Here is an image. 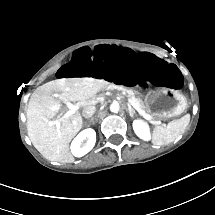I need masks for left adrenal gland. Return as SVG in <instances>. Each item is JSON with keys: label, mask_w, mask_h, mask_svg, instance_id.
Masks as SVG:
<instances>
[{"label": "left adrenal gland", "mask_w": 215, "mask_h": 215, "mask_svg": "<svg viewBox=\"0 0 215 215\" xmlns=\"http://www.w3.org/2000/svg\"><path fill=\"white\" fill-rule=\"evenodd\" d=\"M128 112H129V115L134 118V114H136V111L133 109V108H130L128 107Z\"/></svg>", "instance_id": "left-adrenal-gland-1"}]
</instances>
